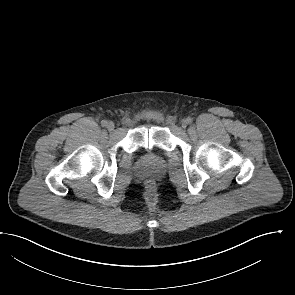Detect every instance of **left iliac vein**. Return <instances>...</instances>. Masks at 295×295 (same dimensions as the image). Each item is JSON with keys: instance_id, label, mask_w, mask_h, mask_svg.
<instances>
[{"instance_id": "1", "label": "left iliac vein", "mask_w": 295, "mask_h": 295, "mask_svg": "<svg viewBox=\"0 0 295 295\" xmlns=\"http://www.w3.org/2000/svg\"><path fill=\"white\" fill-rule=\"evenodd\" d=\"M181 125L183 128H185L188 125L187 119H183Z\"/></svg>"}]
</instances>
